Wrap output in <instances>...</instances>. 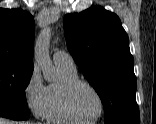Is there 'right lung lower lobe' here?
<instances>
[{
    "label": "right lung lower lobe",
    "instance_id": "right-lung-lower-lobe-1",
    "mask_svg": "<svg viewBox=\"0 0 156 124\" xmlns=\"http://www.w3.org/2000/svg\"><path fill=\"white\" fill-rule=\"evenodd\" d=\"M29 110L23 107H17L10 104H0V117L9 118L16 121L28 119Z\"/></svg>",
    "mask_w": 156,
    "mask_h": 124
}]
</instances>
